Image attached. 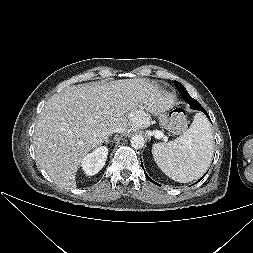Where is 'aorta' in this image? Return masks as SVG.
<instances>
[{
	"label": "aorta",
	"mask_w": 253,
	"mask_h": 253,
	"mask_svg": "<svg viewBox=\"0 0 253 253\" xmlns=\"http://www.w3.org/2000/svg\"><path fill=\"white\" fill-rule=\"evenodd\" d=\"M130 142H131V146L134 149H141L145 145V140H144V137L142 135H134L131 138Z\"/></svg>",
	"instance_id": "obj_1"
}]
</instances>
